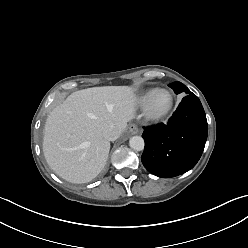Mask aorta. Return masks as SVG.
<instances>
[{
	"mask_svg": "<svg viewBox=\"0 0 248 248\" xmlns=\"http://www.w3.org/2000/svg\"><path fill=\"white\" fill-rule=\"evenodd\" d=\"M129 145L135 151H142L144 149V140L140 136H133L129 140Z\"/></svg>",
	"mask_w": 248,
	"mask_h": 248,
	"instance_id": "obj_1",
	"label": "aorta"
}]
</instances>
